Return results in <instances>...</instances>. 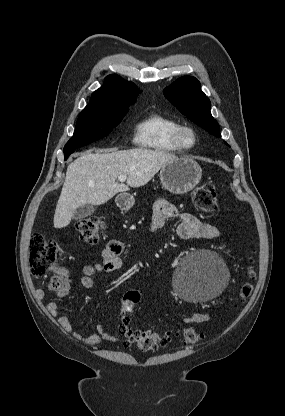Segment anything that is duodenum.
Listing matches in <instances>:
<instances>
[{"label":"duodenum","mask_w":285,"mask_h":416,"mask_svg":"<svg viewBox=\"0 0 285 416\" xmlns=\"http://www.w3.org/2000/svg\"><path fill=\"white\" fill-rule=\"evenodd\" d=\"M117 206H130L132 204L130 193H119L115 200Z\"/></svg>","instance_id":"1"}]
</instances>
